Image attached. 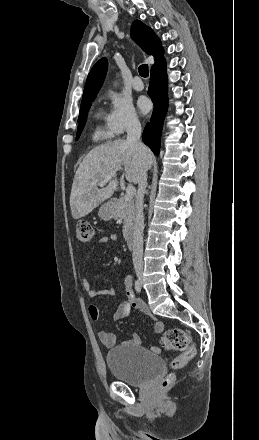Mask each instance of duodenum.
<instances>
[{
  "label": "duodenum",
  "mask_w": 259,
  "mask_h": 440,
  "mask_svg": "<svg viewBox=\"0 0 259 440\" xmlns=\"http://www.w3.org/2000/svg\"><path fill=\"white\" fill-rule=\"evenodd\" d=\"M125 241L128 247H131L133 245V234L132 232H128L125 236Z\"/></svg>",
  "instance_id": "obj_1"
}]
</instances>
